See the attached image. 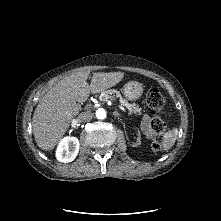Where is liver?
<instances>
[{"instance_id": "1", "label": "liver", "mask_w": 221, "mask_h": 221, "mask_svg": "<svg viewBox=\"0 0 221 221\" xmlns=\"http://www.w3.org/2000/svg\"><path fill=\"white\" fill-rule=\"evenodd\" d=\"M88 71L63 78L39 101L33 115V135L42 150H52L61 141L72 119L78 115L76 102H85L90 93L96 94L118 84L122 72H95L90 85Z\"/></svg>"}]
</instances>
